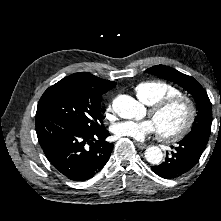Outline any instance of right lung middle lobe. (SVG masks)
Masks as SVG:
<instances>
[{
    "label": "right lung middle lobe",
    "instance_id": "dd1d6c3e",
    "mask_svg": "<svg viewBox=\"0 0 221 221\" xmlns=\"http://www.w3.org/2000/svg\"><path fill=\"white\" fill-rule=\"evenodd\" d=\"M94 89L57 82L42 95L37 112L63 118L87 131L104 128L100 113L101 97Z\"/></svg>",
    "mask_w": 221,
    "mask_h": 221
}]
</instances>
